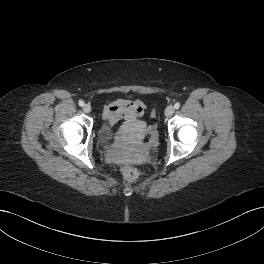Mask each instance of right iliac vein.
I'll list each match as a JSON object with an SVG mask.
<instances>
[{
	"label": "right iliac vein",
	"mask_w": 264,
	"mask_h": 264,
	"mask_svg": "<svg viewBox=\"0 0 264 264\" xmlns=\"http://www.w3.org/2000/svg\"><path fill=\"white\" fill-rule=\"evenodd\" d=\"M83 111H84L85 113H90V112H91V106H90L89 104H85V105L83 106Z\"/></svg>",
	"instance_id": "63e3f726"
}]
</instances>
